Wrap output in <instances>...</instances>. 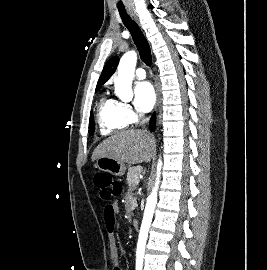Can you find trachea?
I'll list each match as a JSON object with an SVG mask.
<instances>
[{"mask_svg": "<svg viewBox=\"0 0 267 270\" xmlns=\"http://www.w3.org/2000/svg\"><path fill=\"white\" fill-rule=\"evenodd\" d=\"M124 25L130 31L133 41L139 51L141 60L146 65H151L150 46L139 26L129 17L124 7H118Z\"/></svg>", "mask_w": 267, "mask_h": 270, "instance_id": "1", "label": "trachea"}]
</instances>
